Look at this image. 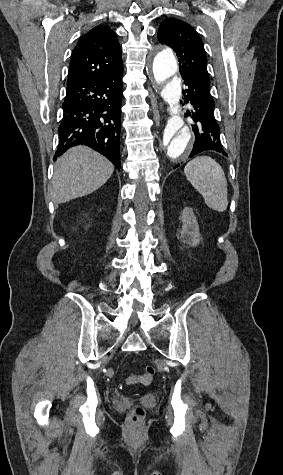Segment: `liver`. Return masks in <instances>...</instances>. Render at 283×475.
Returning a JSON list of instances; mask_svg holds the SVG:
<instances>
[{"mask_svg":"<svg viewBox=\"0 0 283 475\" xmlns=\"http://www.w3.org/2000/svg\"><path fill=\"white\" fill-rule=\"evenodd\" d=\"M113 172V164L91 148H70L55 162L52 198L56 204H64L92 194L106 184Z\"/></svg>","mask_w":283,"mask_h":475,"instance_id":"liver-1","label":"liver"}]
</instances>
